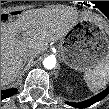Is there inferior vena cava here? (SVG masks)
<instances>
[{
	"mask_svg": "<svg viewBox=\"0 0 109 109\" xmlns=\"http://www.w3.org/2000/svg\"><path fill=\"white\" fill-rule=\"evenodd\" d=\"M36 56H34L33 54H31V53H24L23 55H22V59H23V61L24 62H27V61H29V60H32L33 58H35Z\"/></svg>",
	"mask_w": 109,
	"mask_h": 109,
	"instance_id": "inferior-vena-cava-1",
	"label": "inferior vena cava"
}]
</instances>
